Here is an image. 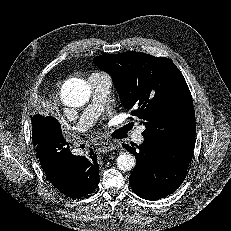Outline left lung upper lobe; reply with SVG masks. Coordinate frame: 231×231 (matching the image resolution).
Masks as SVG:
<instances>
[{"instance_id":"5c2ea615","label":"left lung upper lobe","mask_w":231,"mask_h":231,"mask_svg":"<svg viewBox=\"0 0 231 231\" xmlns=\"http://www.w3.org/2000/svg\"><path fill=\"white\" fill-rule=\"evenodd\" d=\"M93 62L111 75L123 106L145 125L144 138L175 147L194 145L192 96L170 59L127 51L96 56Z\"/></svg>"}]
</instances>
